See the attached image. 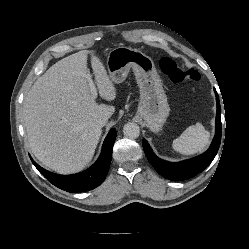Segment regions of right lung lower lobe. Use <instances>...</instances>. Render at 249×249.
Listing matches in <instances>:
<instances>
[{"instance_id":"98d812e1","label":"right lung lower lobe","mask_w":249,"mask_h":249,"mask_svg":"<svg viewBox=\"0 0 249 249\" xmlns=\"http://www.w3.org/2000/svg\"><path fill=\"white\" fill-rule=\"evenodd\" d=\"M117 132L111 129L104 140L100 157L89 169L84 172L73 175H58L45 170L35 163L34 166L39 172L56 187L67 192H85L99 186L105 179L109 170L113 143L115 142Z\"/></svg>"}]
</instances>
